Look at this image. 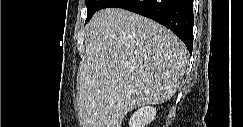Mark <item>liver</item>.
Here are the masks:
<instances>
[{
  "mask_svg": "<svg viewBox=\"0 0 243 127\" xmlns=\"http://www.w3.org/2000/svg\"><path fill=\"white\" fill-rule=\"evenodd\" d=\"M86 35L78 88L84 127H121L135 107L163 103L177 91L188 51L161 24L106 8L94 14Z\"/></svg>",
  "mask_w": 243,
  "mask_h": 127,
  "instance_id": "obj_1",
  "label": "liver"
}]
</instances>
